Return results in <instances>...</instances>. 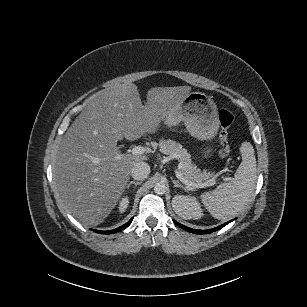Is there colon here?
Returning a JSON list of instances; mask_svg holds the SVG:
<instances>
[{
	"mask_svg": "<svg viewBox=\"0 0 307 307\" xmlns=\"http://www.w3.org/2000/svg\"><path fill=\"white\" fill-rule=\"evenodd\" d=\"M233 120L234 116L229 110L222 109L219 111V153L223 157H226L230 154L229 128L232 125Z\"/></svg>",
	"mask_w": 307,
	"mask_h": 307,
	"instance_id": "obj_1",
	"label": "colon"
}]
</instances>
